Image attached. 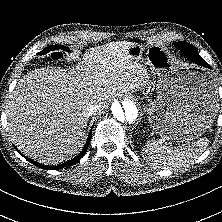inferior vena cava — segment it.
I'll use <instances>...</instances> for the list:
<instances>
[{
  "label": "inferior vena cava",
  "mask_w": 222,
  "mask_h": 222,
  "mask_svg": "<svg viewBox=\"0 0 222 222\" xmlns=\"http://www.w3.org/2000/svg\"><path fill=\"white\" fill-rule=\"evenodd\" d=\"M101 108V103L99 102H92V103H89L87 106H86V113L88 116L94 114L97 110H99Z\"/></svg>",
  "instance_id": "1"
}]
</instances>
